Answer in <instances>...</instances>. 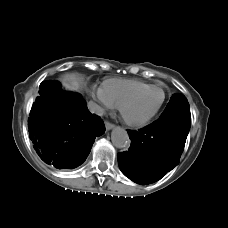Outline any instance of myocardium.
<instances>
[{"mask_svg":"<svg viewBox=\"0 0 228 228\" xmlns=\"http://www.w3.org/2000/svg\"><path fill=\"white\" fill-rule=\"evenodd\" d=\"M152 89H158L162 92V99H161L160 103L158 104V106L155 108V110L153 112H151L149 115H147L141 119H138V120H133V119L129 118L128 116H126V114L124 112L126 105L128 103H130L131 101H133L134 99H136L138 96H140L143 93H145L149 90H152ZM165 99H166V94L161 87H159L157 85H150L148 87L140 89V90L128 95L127 97H125L119 104L118 108H119V112H120L122 118L128 125L133 126V127H141V126L146 125L149 121H151L157 115V113L160 111L161 107L163 106Z\"/></svg>","mask_w":228,"mask_h":228,"instance_id":"myocardium-1","label":"myocardium"}]
</instances>
